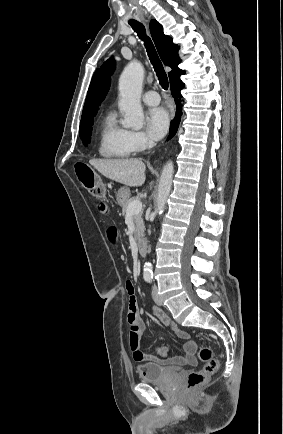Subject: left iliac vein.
Listing matches in <instances>:
<instances>
[{
	"mask_svg": "<svg viewBox=\"0 0 283 434\" xmlns=\"http://www.w3.org/2000/svg\"><path fill=\"white\" fill-rule=\"evenodd\" d=\"M152 298L157 305H162V300L158 295V289L156 285L153 286Z\"/></svg>",
	"mask_w": 283,
	"mask_h": 434,
	"instance_id": "left-iliac-vein-1",
	"label": "left iliac vein"
}]
</instances>
